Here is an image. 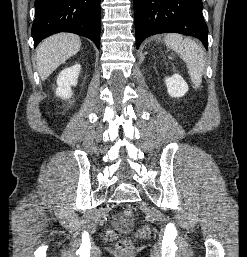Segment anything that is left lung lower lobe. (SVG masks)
<instances>
[{
	"mask_svg": "<svg viewBox=\"0 0 247 257\" xmlns=\"http://www.w3.org/2000/svg\"><path fill=\"white\" fill-rule=\"evenodd\" d=\"M136 48L144 39L160 33L176 32L196 37L208 49V27L201 0H133Z\"/></svg>",
	"mask_w": 247,
	"mask_h": 257,
	"instance_id": "1",
	"label": "left lung lower lobe"
}]
</instances>
